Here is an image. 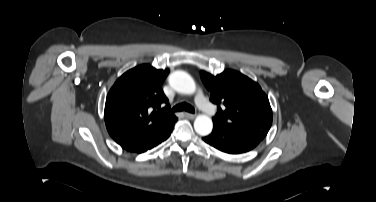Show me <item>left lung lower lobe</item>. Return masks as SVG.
<instances>
[{
	"mask_svg": "<svg viewBox=\"0 0 376 202\" xmlns=\"http://www.w3.org/2000/svg\"><path fill=\"white\" fill-rule=\"evenodd\" d=\"M203 139L206 143L228 154L250 151L262 141L260 138L217 123H213L212 133Z\"/></svg>",
	"mask_w": 376,
	"mask_h": 202,
	"instance_id": "obj_1",
	"label": "left lung lower lobe"
}]
</instances>
